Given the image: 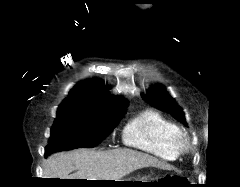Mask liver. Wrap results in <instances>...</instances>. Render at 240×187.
Listing matches in <instances>:
<instances>
[{"label":"liver","mask_w":240,"mask_h":187,"mask_svg":"<svg viewBox=\"0 0 240 187\" xmlns=\"http://www.w3.org/2000/svg\"><path fill=\"white\" fill-rule=\"evenodd\" d=\"M149 166L168 168L157 158L131 149H77L49 156L43 174L44 178L116 181L135 170ZM73 171L75 172L70 174Z\"/></svg>","instance_id":"obj_1"}]
</instances>
